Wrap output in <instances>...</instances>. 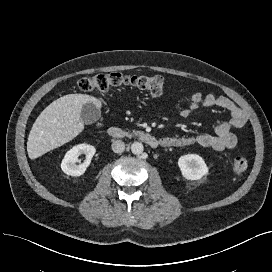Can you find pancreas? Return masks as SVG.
Here are the masks:
<instances>
[{
  "label": "pancreas",
  "instance_id": "obj_1",
  "mask_svg": "<svg viewBox=\"0 0 272 272\" xmlns=\"http://www.w3.org/2000/svg\"><path fill=\"white\" fill-rule=\"evenodd\" d=\"M141 132L137 130H133L132 132H125V136L127 137H133L139 135Z\"/></svg>",
  "mask_w": 272,
  "mask_h": 272
}]
</instances>
